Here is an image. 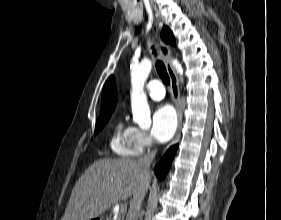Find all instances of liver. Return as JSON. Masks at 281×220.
I'll list each match as a JSON object with an SVG mask.
<instances>
[{
  "instance_id": "1",
  "label": "liver",
  "mask_w": 281,
  "mask_h": 220,
  "mask_svg": "<svg viewBox=\"0 0 281 220\" xmlns=\"http://www.w3.org/2000/svg\"><path fill=\"white\" fill-rule=\"evenodd\" d=\"M146 177L142 167L131 159H99L76 182L61 220H91L118 201L126 200Z\"/></svg>"
}]
</instances>
